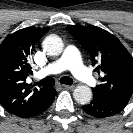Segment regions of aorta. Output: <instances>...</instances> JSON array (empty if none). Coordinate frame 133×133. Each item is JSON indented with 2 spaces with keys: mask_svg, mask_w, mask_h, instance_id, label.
I'll use <instances>...</instances> for the list:
<instances>
[{
  "mask_svg": "<svg viewBox=\"0 0 133 133\" xmlns=\"http://www.w3.org/2000/svg\"><path fill=\"white\" fill-rule=\"evenodd\" d=\"M44 51L51 56H58L63 51V41L57 35H49L43 41ZM74 99L80 104H87L92 99V90L87 85H79L73 91Z\"/></svg>",
  "mask_w": 133,
  "mask_h": 133,
  "instance_id": "1",
  "label": "aorta"
}]
</instances>
